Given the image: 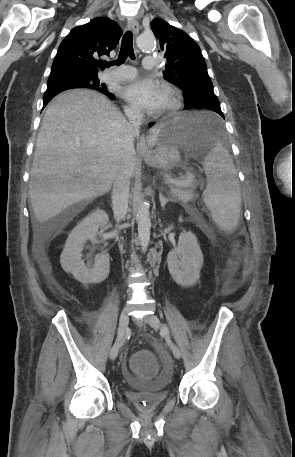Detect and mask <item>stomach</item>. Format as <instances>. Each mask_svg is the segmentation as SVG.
I'll list each match as a JSON object with an SVG mask.
<instances>
[{
  "instance_id": "stomach-1",
  "label": "stomach",
  "mask_w": 295,
  "mask_h": 457,
  "mask_svg": "<svg viewBox=\"0 0 295 457\" xmlns=\"http://www.w3.org/2000/svg\"><path fill=\"white\" fill-rule=\"evenodd\" d=\"M208 123L196 116H187L168 121L161 125L157 133L156 148L143 154L151 167L168 170L180 164V149L193 145L204 152L212 147Z\"/></svg>"
}]
</instances>
